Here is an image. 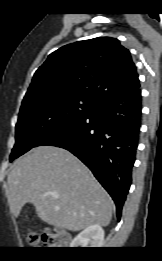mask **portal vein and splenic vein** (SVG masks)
<instances>
[{
  "label": "portal vein and splenic vein",
  "instance_id": "1",
  "mask_svg": "<svg viewBox=\"0 0 162 261\" xmlns=\"http://www.w3.org/2000/svg\"><path fill=\"white\" fill-rule=\"evenodd\" d=\"M53 197L54 198H59V195L58 194H53Z\"/></svg>",
  "mask_w": 162,
  "mask_h": 261
}]
</instances>
